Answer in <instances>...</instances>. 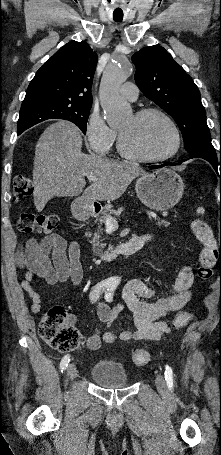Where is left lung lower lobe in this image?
<instances>
[{"label": "left lung lower lobe", "instance_id": "1", "mask_svg": "<svg viewBox=\"0 0 221 455\" xmlns=\"http://www.w3.org/2000/svg\"><path fill=\"white\" fill-rule=\"evenodd\" d=\"M189 154H190V158H202V159L207 160L213 166V168L216 170L217 173L220 170V177H221V156H220V160H219V158H217V154H216L215 150L196 149ZM167 165H176V164L175 163H166V164L159 165V166H151V168H161V167H164Z\"/></svg>", "mask_w": 221, "mask_h": 455}]
</instances>
